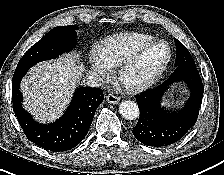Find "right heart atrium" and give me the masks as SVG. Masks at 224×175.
I'll use <instances>...</instances> for the list:
<instances>
[{
	"instance_id": "d8ad5b80",
	"label": "right heart atrium",
	"mask_w": 224,
	"mask_h": 175,
	"mask_svg": "<svg viewBox=\"0 0 224 175\" xmlns=\"http://www.w3.org/2000/svg\"><path fill=\"white\" fill-rule=\"evenodd\" d=\"M90 62L93 70L100 77H107L111 71V67L101 58L98 51L91 52Z\"/></svg>"
}]
</instances>
